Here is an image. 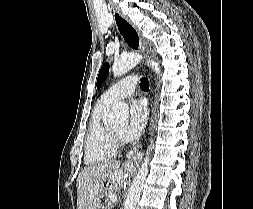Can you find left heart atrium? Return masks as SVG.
Wrapping results in <instances>:
<instances>
[{
  "mask_svg": "<svg viewBox=\"0 0 253 209\" xmlns=\"http://www.w3.org/2000/svg\"><path fill=\"white\" fill-rule=\"evenodd\" d=\"M147 119V107L143 101H133L130 105L129 123L122 135L126 141L137 139L145 126Z\"/></svg>",
  "mask_w": 253,
  "mask_h": 209,
  "instance_id": "39dd6f15",
  "label": "left heart atrium"
}]
</instances>
